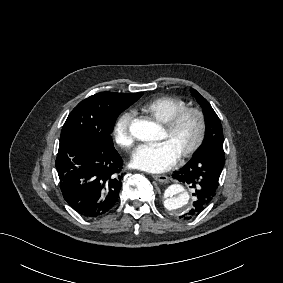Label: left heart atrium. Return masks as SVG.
Masks as SVG:
<instances>
[{
	"mask_svg": "<svg viewBox=\"0 0 283 283\" xmlns=\"http://www.w3.org/2000/svg\"><path fill=\"white\" fill-rule=\"evenodd\" d=\"M179 153L168 141L141 144L131 154L133 168L147 173H161L172 168L179 160Z\"/></svg>",
	"mask_w": 283,
	"mask_h": 283,
	"instance_id": "left-heart-atrium-1",
	"label": "left heart atrium"
}]
</instances>
